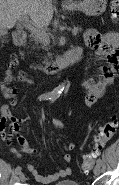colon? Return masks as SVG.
I'll return each mask as SVG.
<instances>
[{"label":"colon","instance_id":"obj_1","mask_svg":"<svg viewBox=\"0 0 119 185\" xmlns=\"http://www.w3.org/2000/svg\"><path fill=\"white\" fill-rule=\"evenodd\" d=\"M110 9L112 19L117 20L119 17V0H110ZM117 126V118L115 115H112L110 119L100 128V132L96 137L95 146L83 159L82 171L84 173L90 172L93 168L96 158L100 155L106 144L116 134Z\"/></svg>","mask_w":119,"mask_h":185}]
</instances>
